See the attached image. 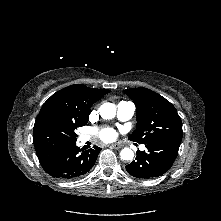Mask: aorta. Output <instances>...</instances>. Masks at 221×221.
Wrapping results in <instances>:
<instances>
[{
  "label": "aorta",
  "mask_w": 221,
  "mask_h": 221,
  "mask_svg": "<svg viewBox=\"0 0 221 221\" xmlns=\"http://www.w3.org/2000/svg\"><path fill=\"white\" fill-rule=\"evenodd\" d=\"M99 113L103 119H112L116 115V106L113 103H104L99 108ZM120 157L123 160H132L134 152L130 148H124L120 152Z\"/></svg>",
  "instance_id": "1"
}]
</instances>
